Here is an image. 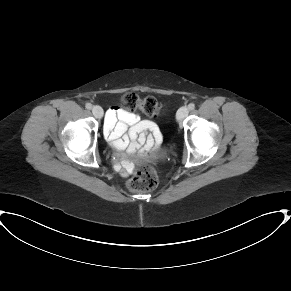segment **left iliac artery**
I'll list each match as a JSON object with an SVG mask.
<instances>
[{
	"label": "left iliac artery",
	"mask_w": 291,
	"mask_h": 291,
	"mask_svg": "<svg viewBox=\"0 0 291 291\" xmlns=\"http://www.w3.org/2000/svg\"><path fill=\"white\" fill-rule=\"evenodd\" d=\"M188 108H189V110H194V108H195V104H194V103H190V104L188 105Z\"/></svg>",
	"instance_id": "1"
}]
</instances>
